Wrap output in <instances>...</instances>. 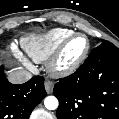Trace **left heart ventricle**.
<instances>
[{"mask_svg":"<svg viewBox=\"0 0 119 119\" xmlns=\"http://www.w3.org/2000/svg\"><path fill=\"white\" fill-rule=\"evenodd\" d=\"M86 41L82 37L72 39L63 51L62 64H71L76 61L84 52Z\"/></svg>","mask_w":119,"mask_h":119,"instance_id":"left-heart-ventricle-1","label":"left heart ventricle"}]
</instances>
